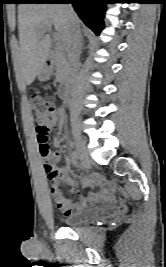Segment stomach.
<instances>
[{
    "mask_svg": "<svg viewBox=\"0 0 166 267\" xmlns=\"http://www.w3.org/2000/svg\"><path fill=\"white\" fill-rule=\"evenodd\" d=\"M51 70L47 66H43L37 77L40 81H47L50 78Z\"/></svg>",
    "mask_w": 166,
    "mask_h": 267,
    "instance_id": "stomach-1",
    "label": "stomach"
}]
</instances>
